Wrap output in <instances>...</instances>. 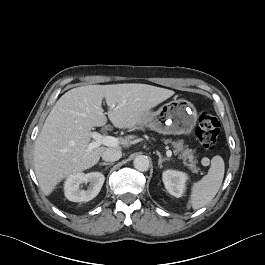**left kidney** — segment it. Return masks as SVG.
<instances>
[{"label":"left kidney","mask_w":265,"mask_h":265,"mask_svg":"<svg viewBox=\"0 0 265 265\" xmlns=\"http://www.w3.org/2000/svg\"><path fill=\"white\" fill-rule=\"evenodd\" d=\"M188 176L176 170H166L162 174V180L167 191L179 198L182 196Z\"/></svg>","instance_id":"left-kidney-1"}]
</instances>
